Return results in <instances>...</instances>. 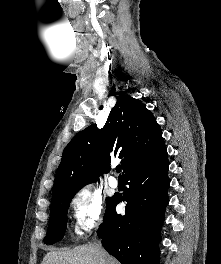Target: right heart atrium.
I'll return each mask as SVG.
<instances>
[{
    "label": "right heart atrium",
    "instance_id": "d8ad5b80",
    "mask_svg": "<svg viewBox=\"0 0 221 264\" xmlns=\"http://www.w3.org/2000/svg\"><path fill=\"white\" fill-rule=\"evenodd\" d=\"M72 231L82 237L104 222L102 200L89 188L77 191L70 201Z\"/></svg>",
    "mask_w": 221,
    "mask_h": 264
}]
</instances>
